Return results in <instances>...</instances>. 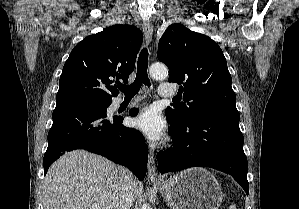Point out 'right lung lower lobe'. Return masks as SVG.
<instances>
[{"mask_svg":"<svg viewBox=\"0 0 299 209\" xmlns=\"http://www.w3.org/2000/svg\"><path fill=\"white\" fill-rule=\"evenodd\" d=\"M136 109L130 115L137 114ZM44 155V175L64 153L84 149L128 167L141 181L146 175L148 148L142 134L122 125V117L106 118V111L83 103H57Z\"/></svg>","mask_w":299,"mask_h":209,"instance_id":"98d812e1","label":"right lung lower lobe"}]
</instances>
